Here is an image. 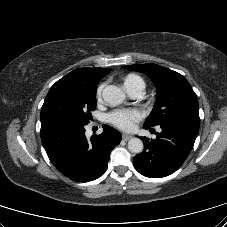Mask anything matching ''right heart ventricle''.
Here are the masks:
<instances>
[{"instance_id": "right-heart-ventricle-1", "label": "right heart ventricle", "mask_w": 227, "mask_h": 227, "mask_svg": "<svg viewBox=\"0 0 227 227\" xmlns=\"http://www.w3.org/2000/svg\"><path fill=\"white\" fill-rule=\"evenodd\" d=\"M140 83L144 84L142 78L136 74H129L124 79V86L126 87V89Z\"/></svg>"}]
</instances>
